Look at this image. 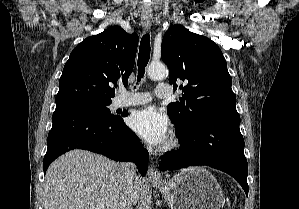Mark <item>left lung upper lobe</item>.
Wrapping results in <instances>:
<instances>
[{"label": "left lung upper lobe", "mask_w": 299, "mask_h": 209, "mask_svg": "<svg viewBox=\"0 0 299 209\" xmlns=\"http://www.w3.org/2000/svg\"><path fill=\"white\" fill-rule=\"evenodd\" d=\"M161 51L169 68V83L176 89V83L183 82L180 102L170 103L167 109L178 132L213 112L236 109L226 60L211 39L176 24L164 34Z\"/></svg>", "instance_id": "left-lung-upper-lobe-1"}]
</instances>
